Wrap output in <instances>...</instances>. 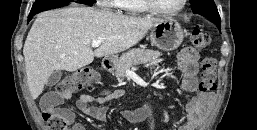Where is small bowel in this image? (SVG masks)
<instances>
[{
  "instance_id": "1",
  "label": "small bowel",
  "mask_w": 257,
  "mask_h": 130,
  "mask_svg": "<svg viewBox=\"0 0 257 130\" xmlns=\"http://www.w3.org/2000/svg\"><path fill=\"white\" fill-rule=\"evenodd\" d=\"M198 60L199 53L192 47L182 49L177 57L178 68L183 75L180 87L183 91L193 94V97L186 105V120L178 130H196L202 122L207 107L212 100L211 94L202 93L198 90ZM124 95L125 91L122 89L104 90L97 94H81L76 101V106L88 117L106 123L108 121V109L104 105L108 101L120 99ZM68 97L55 92H49L41 98V108L44 111H52L65 115L70 123L69 130H85L84 126L76 120L72 111L58 108V105ZM91 103H95L96 105L91 106ZM122 116L134 124L148 120L151 130L155 126V117L148 105L134 110H123ZM114 130L119 129L115 128Z\"/></svg>"
}]
</instances>
